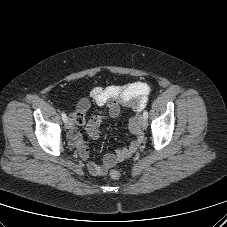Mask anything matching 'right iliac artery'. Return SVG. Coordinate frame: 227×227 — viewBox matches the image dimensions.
Returning <instances> with one entry per match:
<instances>
[{"instance_id": "right-iliac-artery-1", "label": "right iliac artery", "mask_w": 227, "mask_h": 227, "mask_svg": "<svg viewBox=\"0 0 227 227\" xmlns=\"http://www.w3.org/2000/svg\"><path fill=\"white\" fill-rule=\"evenodd\" d=\"M61 116H62L63 121L66 122V121H67V116H66V114H65L64 112H62V113H61Z\"/></svg>"}]
</instances>
